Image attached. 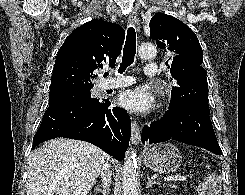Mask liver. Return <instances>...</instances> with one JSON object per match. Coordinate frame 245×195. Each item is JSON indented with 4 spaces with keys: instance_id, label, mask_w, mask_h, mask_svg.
<instances>
[{
    "instance_id": "liver-1",
    "label": "liver",
    "mask_w": 245,
    "mask_h": 195,
    "mask_svg": "<svg viewBox=\"0 0 245 195\" xmlns=\"http://www.w3.org/2000/svg\"><path fill=\"white\" fill-rule=\"evenodd\" d=\"M108 160L88 142L50 140L29 157L27 195H87Z\"/></svg>"
}]
</instances>
